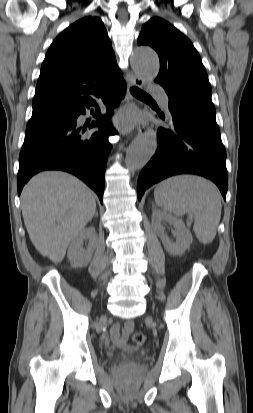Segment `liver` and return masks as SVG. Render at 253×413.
Wrapping results in <instances>:
<instances>
[{
	"label": "liver",
	"mask_w": 253,
	"mask_h": 413,
	"mask_svg": "<svg viewBox=\"0 0 253 413\" xmlns=\"http://www.w3.org/2000/svg\"><path fill=\"white\" fill-rule=\"evenodd\" d=\"M22 215L36 250L54 263L96 213L95 194L78 178L58 171L34 176L21 196Z\"/></svg>",
	"instance_id": "1"
}]
</instances>
